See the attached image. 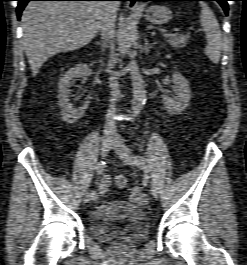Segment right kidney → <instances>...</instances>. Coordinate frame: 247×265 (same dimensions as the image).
<instances>
[{
    "mask_svg": "<svg viewBox=\"0 0 247 265\" xmlns=\"http://www.w3.org/2000/svg\"><path fill=\"white\" fill-rule=\"evenodd\" d=\"M92 70L87 64H77L73 68H70L67 73L60 79L58 87V99L59 106L62 111V119L69 124L77 122L85 113L89 106V101H85L80 108H73L70 103L69 94L71 92L70 87L72 81L76 78H84L90 76Z\"/></svg>",
    "mask_w": 247,
    "mask_h": 265,
    "instance_id": "obj_1",
    "label": "right kidney"
}]
</instances>
